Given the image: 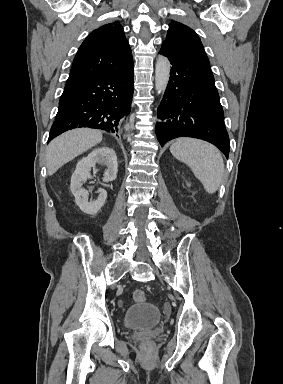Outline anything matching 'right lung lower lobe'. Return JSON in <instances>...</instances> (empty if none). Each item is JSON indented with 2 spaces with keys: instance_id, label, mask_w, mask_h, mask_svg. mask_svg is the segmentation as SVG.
<instances>
[{
  "instance_id": "right-lung-lower-lobe-1",
  "label": "right lung lower lobe",
  "mask_w": 283,
  "mask_h": 384,
  "mask_svg": "<svg viewBox=\"0 0 283 384\" xmlns=\"http://www.w3.org/2000/svg\"><path fill=\"white\" fill-rule=\"evenodd\" d=\"M133 91V66L64 89L48 142L76 127L102 129L117 135L122 119L130 113Z\"/></svg>"
}]
</instances>
